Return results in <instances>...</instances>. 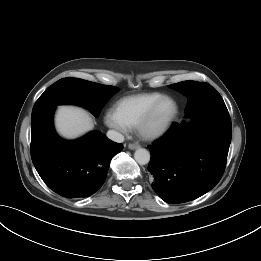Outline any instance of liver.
I'll return each instance as SVG.
<instances>
[{"mask_svg":"<svg viewBox=\"0 0 261 261\" xmlns=\"http://www.w3.org/2000/svg\"><path fill=\"white\" fill-rule=\"evenodd\" d=\"M55 127L62 137L74 139L92 130L93 120L82 108L60 106L55 116Z\"/></svg>","mask_w":261,"mask_h":261,"instance_id":"obj_1","label":"liver"}]
</instances>
